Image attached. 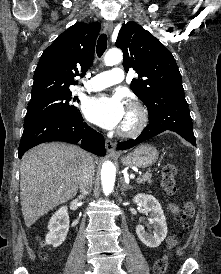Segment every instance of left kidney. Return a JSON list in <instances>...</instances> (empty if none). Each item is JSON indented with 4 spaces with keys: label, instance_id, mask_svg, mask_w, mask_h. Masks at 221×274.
Here are the masks:
<instances>
[{
    "label": "left kidney",
    "instance_id": "5707ae66",
    "mask_svg": "<svg viewBox=\"0 0 221 274\" xmlns=\"http://www.w3.org/2000/svg\"><path fill=\"white\" fill-rule=\"evenodd\" d=\"M133 202L142 207L146 213H150L149 223L154 227L153 233L150 234L146 233L144 226L138 225L136 233L139 239L147 247H158L167 235L166 218L159 201L152 195L138 194Z\"/></svg>",
    "mask_w": 221,
    "mask_h": 274
}]
</instances>
